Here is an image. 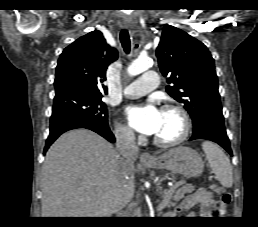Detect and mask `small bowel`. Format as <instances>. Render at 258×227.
Wrapping results in <instances>:
<instances>
[{"instance_id": "1", "label": "small bowel", "mask_w": 258, "mask_h": 227, "mask_svg": "<svg viewBox=\"0 0 258 227\" xmlns=\"http://www.w3.org/2000/svg\"><path fill=\"white\" fill-rule=\"evenodd\" d=\"M200 205V217H210L214 212L224 213L225 206L222 202L214 200L211 192L201 189L188 195L176 208V212H187L189 216H195L192 208Z\"/></svg>"}]
</instances>
